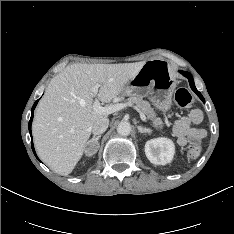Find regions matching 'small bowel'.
<instances>
[{
  "instance_id": "c3829d8e",
  "label": "small bowel",
  "mask_w": 234,
  "mask_h": 234,
  "mask_svg": "<svg viewBox=\"0 0 234 234\" xmlns=\"http://www.w3.org/2000/svg\"><path fill=\"white\" fill-rule=\"evenodd\" d=\"M203 113L199 109L192 110L187 116L175 121L174 133L180 146H187L190 143L202 140L206 136V130L194 127L201 123Z\"/></svg>"
}]
</instances>
